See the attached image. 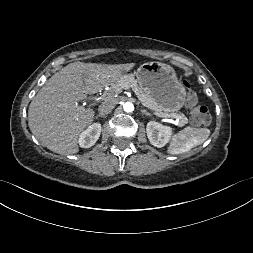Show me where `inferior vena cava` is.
Wrapping results in <instances>:
<instances>
[{"mask_svg": "<svg viewBox=\"0 0 253 253\" xmlns=\"http://www.w3.org/2000/svg\"><path fill=\"white\" fill-rule=\"evenodd\" d=\"M115 105H116L115 100H108V101L103 102L98 108L99 114L101 115L109 114L112 111V109L115 107Z\"/></svg>", "mask_w": 253, "mask_h": 253, "instance_id": "inferior-vena-cava-1", "label": "inferior vena cava"}]
</instances>
